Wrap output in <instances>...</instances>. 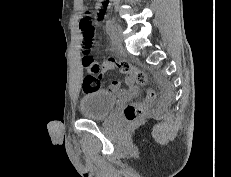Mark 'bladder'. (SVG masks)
<instances>
[{"mask_svg": "<svg viewBox=\"0 0 231 177\" xmlns=\"http://www.w3.org/2000/svg\"><path fill=\"white\" fill-rule=\"evenodd\" d=\"M116 101V96L108 91H91L81 98L79 111L84 119L102 120L111 113Z\"/></svg>", "mask_w": 231, "mask_h": 177, "instance_id": "31cf9c89", "label": "bladder"}]
</instances>
